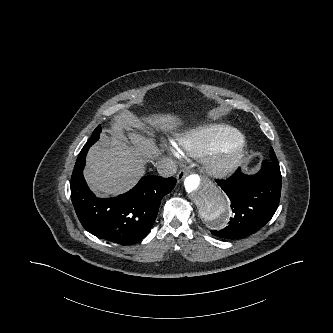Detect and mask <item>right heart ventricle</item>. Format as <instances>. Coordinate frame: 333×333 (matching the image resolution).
I'll return each instance as SVG.
<instances>
[{"label": "right heart ventricle", "mask_w": 333, "mask_h": 333, "mask_svg": "<svg viewBox=\"0 0 333 333\" xmlns=\"http://www.w3.org/2000/svg\"><path fill=\"white\" fill-rule=\"evenodd\" d=\"M229 140H244L243 135L228 126H202L176 138L177 148L182 155L203 156L215 145Z\"/></svg>", "instance_id": "e07e8e85"}]
</instances>
